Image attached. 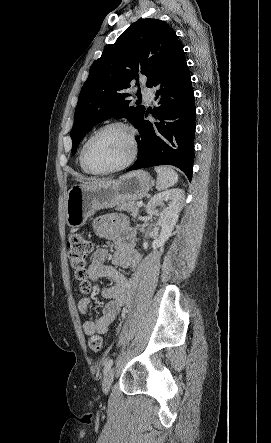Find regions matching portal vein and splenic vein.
<instances>
[{
    "instance_id": "1",
    "label": "portal vein and splenic vein",
    "mask_w": 271,
    "mask_h": 443,
    "mask_svg": "<svg viewBox=\"0 0 271 443\" xmlns=\"http://www.w3.org/2000/svg\"><path fill=\"white\" fill-rule=\"evenodd\" d=\"M136 206H137V208H142L143 202H137Z\"/></svg>"
}]
</instances>
